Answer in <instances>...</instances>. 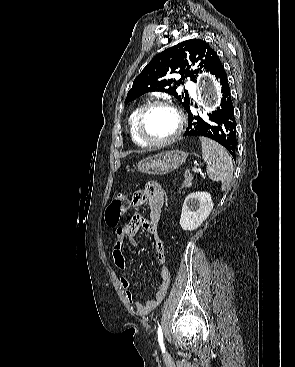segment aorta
Here are the masks:
<instances>
[{"mask_svg":"<svg viewBox=\"0 0 295 367\" xmlns=\"http://www.w3.org/2000/svg\"><path fill=\"white\" fill-rule=\"evenodd\" d=\"M214 91H213V102L214 103H218V101L220 100L222 94L220 91V88L218 87V85L216 83H214Z\"/></svg>","mask_w":295,"mask_h":367,"instance_id":"aorta-1","label":"aorta"}]
</instances>
